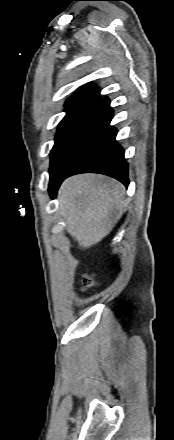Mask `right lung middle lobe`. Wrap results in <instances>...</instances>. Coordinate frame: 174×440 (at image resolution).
<instances>
[{
    "instance_id": "right-lung-middle-lobe-1",
    "label": "right lung middle lobe",
    "mask_w": 174,
    "mask_h": 440,
    "mask_svg": "<svg viewBox=\"0 0 174 440\" xmlns=\"http://www.w3.org/2000/svg\"><path fill=\"white\" fill-rule=\"evenodd\" d=\"M99 109V99L66 109L67 114L59 124L51 151L49 186L65 176L75 165L93 132Z\"/></svg>"
}]
</instances>
